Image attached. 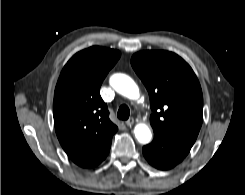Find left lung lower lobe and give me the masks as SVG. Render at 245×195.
I'll list each match as a JSON object with an SVG mask.
<instances>
[{
	"instance_id": "left-lung-lower-lobe-1",
	"label": "left lung lower lobe",
	"mask_w": 245,
	"mask_h": 195,
	"mask_svg": "<svg viewBox=\"0 0 245 195\" xmlns=\"http://www.w3.org/2000/svg\"><path fill=\"white\" fill-rule=\"evenodd\" d=\"M193 143L166 133L154 132V140L143 147V155L155 168L168 170L180 163Z\"/></svg>"
}]
</instances>
